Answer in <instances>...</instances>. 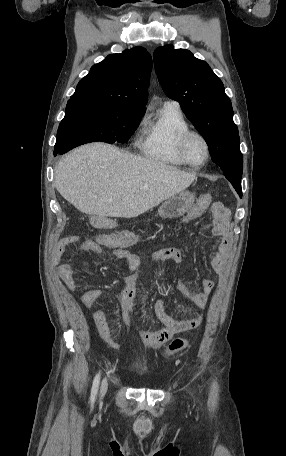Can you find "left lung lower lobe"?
Segmentation results:
<instances>
[{"instance_id":"obj_1","label":"left lung lower lobe","mask_w":286,"mask_h":456,"mask_svg":"<svg viewBox=\"0 0 286 456\" xmlns=\"http://www.w3.org/2000/svg\"><path fill=\"white\" fill-rule=\"evenodd\" d=\"M233 185L237 193L239 194L240 197H242V191H241V179L235 178V177H226Z\"/></svg>"}]
</instances>
